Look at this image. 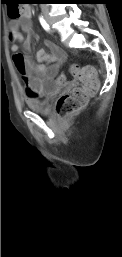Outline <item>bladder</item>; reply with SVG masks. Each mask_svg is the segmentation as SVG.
<instances>
[{
  "label": "bladder",
  "instance_id": "1",
  "mask_svg": "<svg viewBox=\"0 0 122 257\" xmlns=\"http://www.w3.org/2000/svg\"><path fill=\"white\" fill-rule=\"evenodd\" d=\"M26 104L32 111L39 114H47L50 111V97L27 99Z\"/></svg>",
  "mask_w": 122,
  "mask_h": 257
}]
</instances>
